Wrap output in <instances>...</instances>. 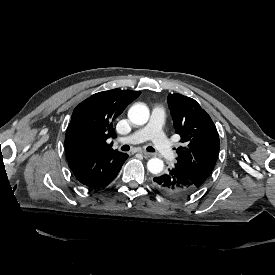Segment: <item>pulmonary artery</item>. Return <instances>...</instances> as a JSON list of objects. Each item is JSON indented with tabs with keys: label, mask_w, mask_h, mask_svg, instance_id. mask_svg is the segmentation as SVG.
<instances>
[{
	"label": "pulmonary artery",
	"mask_w": 275,
	"mask_h": 275,
	"mask_svg": "<svg viewBox=\"0 0 275 275\" xmlns=\"http://www.w3.org/2000/svg\"><path fill=\"white\" fill-rule=\"evenodd\" d=\"M164 118L165 111L161 106H156L151 111V124H149V126L142 129L136 127V130L130 136L118 139L117 143H141L148 138V134L151 129L152 132L150 133V140L154 143L157 153L168 160H173L175 158V152L172 149H169L167 138L161 128L164 124Z\"/></svg>",
	"instance_id": "1"
}]
</instances>
